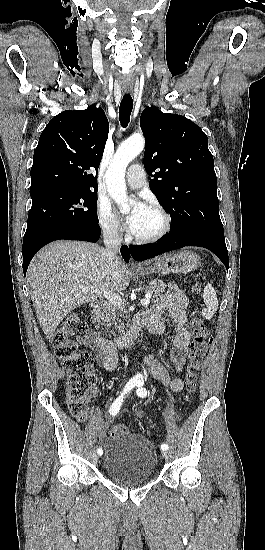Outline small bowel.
Wrapping results in <instances>:
<instances>
[{"label":"small bowel","mask_w":265,"mask_h":550,"mask_svg":"<svg viewBox=\"0 0 265 550\" xmlns=\"http://www.w3.org/2000/svg\"><path fill=\"white\" fill-rule=\"evenodd\" d=\"M187 302L186 295L176 286L170 284L167 292L161 299L141 315L149 331L154 335L165 334V314H168L173 319L175 331L171 335L172 352L170 358L177 371L182 370L189 353L190 333L187 329L185 314ZM79 342L95 351L98 363L102 368L107 371L116 369L118 364V353L109 340L100 337L94 330L89 329L79 337ZM142 364L162 385L170 384L174 392L183 390V378L175 377L171 379L167 368L156 357L148 356L143 360ZM137 413L139 416H142V411L139 410ZM108 422L109 419L99 424L101 438Z\"/></svg>","instance_id":"small-bowel-1"}]
</instances>
